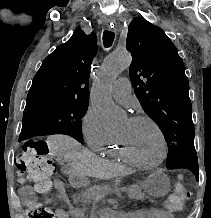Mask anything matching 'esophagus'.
Segmentation results:
<instances>
[{"label": "esophagus", "mask_w": 211, "mask_h": 218, "mask_svg": "<svg viewBox=\"0 0 211 218\" xmlns=\"http://www.w3.org/2000/svg\"><path fill=\"white\" fill-rule=\"evenodd\" d=\"M106 25H107V28H109V29L112 28L109 23H107ZM114 30H116V25H114Z\"/></svg>", "instance_id": "esophagus-1"}]
</instances>
